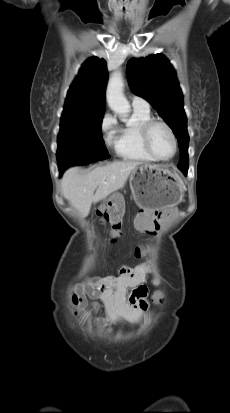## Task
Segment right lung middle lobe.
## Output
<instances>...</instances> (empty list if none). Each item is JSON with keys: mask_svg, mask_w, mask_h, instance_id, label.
I'll use <instances>...</instances> for the list:
<instances>
[{"mask_svg": "<svg viewBox=\"0 0 230 413\" xmlns=\"http://www.w3.org/2000/svg\"><path fill=\"white\" fill-rule=\"evenodd\" d=\"M103 117L60 123L58 135V167L88 164L109 158L101 134Z\"/></svg>", "mask_w": 230, "mask_h": 413, "instance_id": "dd1d6c3e", "label": "right lung middle lobe"}]
</instances>
